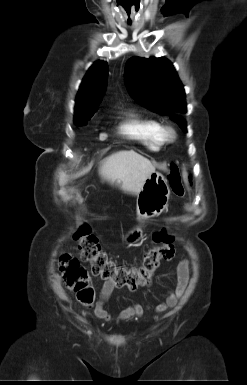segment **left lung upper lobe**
Segmentation results:
<instances>
[{
	"label": "left lung upper lobe",
	"mask_w": 247,
	"mask_h": 385,
	"mask_svg": "<svg viewBox=\"0 0 247 385\" xmlns=\"http://www.w3.org/2000/svg\"><path fill=\"white\" fill-rule=\"evenodd\" d=\"M125 84L140 105L171 119L186 132V123L175 112H187L184 88L170 61L165 58L132 57L126 63Z\"/></svg>",
	"instance_id": "1"
}]
</instances>
